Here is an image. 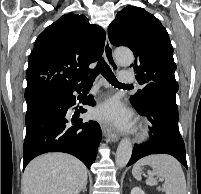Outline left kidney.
I'll use <instances>...</instances> for the list:
<instances>
[{"instance_id":"left-kidney-1","label":"left kidney","mask_w":201,"mask_h":194,"mask_svg":"<svg viewBox=\"0 0 201 194\" xmlns=\"http://www.w3.org/2000/svg\"><path fill=\"white\" fill-rule=\"evenodd\" d=\"M131 194H146L140 187H134L131 190Z\"/></svg>"}]
</instances>
